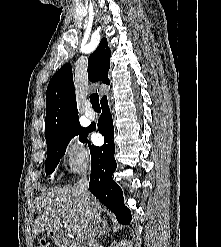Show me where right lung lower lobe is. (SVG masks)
Listing matches in <instances>:
<instances>
[{"label":"right lung lower lobe","instance_id":"obj_1","mask_svg":"<svg viewBox=\"0 0 221 247\" xmlns=\"http://www.w3.org/2000/svg\"><path fill=\"white\" fill-rule=\"evenodd\" d=\"M101 108L98 131L104 136L105 143L101 147L89 144L91 154L89 189L116 215L119 223L129 224L132 219L130 210L124 205L121 188L112 178L117 164L114 158L113 122L106 97L101 100ZM93 130L91 127L87 128L88 132Z\"/></svg>","mask_w":221,"mask_h":247}]
</instances>
